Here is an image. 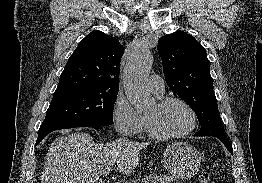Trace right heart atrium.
I'll return each instance as SVG.
<instances>
[{"label": "right heart atrium", "instance_id": "right-heart-atrium-1", "mask_svg": "<svg viewBox=\"0 0 262 183\" xmlns=\"http://www.w3.org/2000/svg\"><path fill=\"white\" fill-rule=\"evenodd\" d=\"M112 119L116 130L125 136L138 135L144 126V118L122 96H118L114 102Z\"/></svg>", "mask_w": 262, "mask_h": 183}]
</instances>
